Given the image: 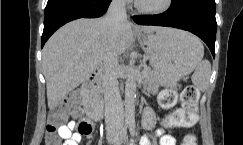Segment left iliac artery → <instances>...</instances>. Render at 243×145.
Here are the masks:
<instances>
[{
	"label": "left iliac artery",
	"mask_w": 243,
	"mask_h": 145,
	"mask_svg": "<svg viewBox=\"0 0 243 145\" xmlns=\"http://www.w3.org/2000/svg\"><path fill=\"white\" fill-rule=\"evenodd\" d=\"M129 130H130L131 135L134 136L135 135V123L134 122L129 124Z\"/></svg>",
	"instance_id": "44dca946"
}]
</instances>
